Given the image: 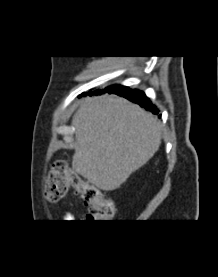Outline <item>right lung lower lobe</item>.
I'll return each mask as SVG.
<instances>
[{"label":"right lung lower lobe","instance_id":"obj_1","mask_svg":"<svg viewBox=\"0 0 218 277\" xmlns=\"http://www.w3.org/2000/svg\"><path fill=\"white\" fill-rule=\"evenodd\" d=\"M100 92L101 91H99L98 94ZM94 93L97 94V91ZM108 93H113V94H117L119 96L125 97L130 101L139 104L141 107L145 108L146 110L151 111L153 114H158V110L155 109V106L150 103L149 99L141 91L123 88L119 90L108 91Z\"/></svg>","mask_w":218,"mask_h":277}]
</instances>
